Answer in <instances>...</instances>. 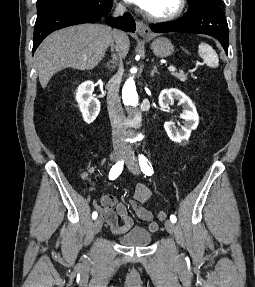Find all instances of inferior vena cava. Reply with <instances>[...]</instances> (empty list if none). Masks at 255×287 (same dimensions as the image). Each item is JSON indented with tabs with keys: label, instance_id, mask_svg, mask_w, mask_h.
<instances>
[{
	"label": "inferior vena cava",
	"instance_id": "inferior-vena-cava-1",
	"mask_svg": "<svg viewBox=\"0 0 255 287\" xmlns=\"http://www.w3.org/2000/svg\"><path fill=\"white\" fill-rule=\"evenodd\" d=\"M125 8L124 6H121V4H118L114 16H122L124 14ZM123 32H119V30H113L112 32V50H115V52H119V48L117 46H114L113 42H115L116 36H121ZM117 74L109 80L107 84V90H108V96H107V108H108V114L112 126V142L114 147H126V144L124 142V132L126 130L125 128V116L123 112V108L121 106L120 98H119V88L124 72V66L122 64L121 58H117Z\"/></svg>",
	"mask_w": 255,
	"mask_h": 287
}]
</instances>
